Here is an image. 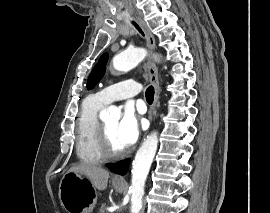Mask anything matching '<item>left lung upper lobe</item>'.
Wrapping results in <instances>:
<instances>
[{
	"label": "left lung upper lobe",
	"instance_id": "obj_1",
	"mask_svg": "<svg viewBox=\"0 0 270 213\" xmlns=\"http://www.w3.org/2000/svg\"><path fill=\"white\" fill-rule=\"evenodd\" d=\"M108 60V54L104 53L99 61L98 64H96V66L94 67V69L92 70L89 78H88V82H87V88L88 89H92L95 87V85L100 81V79L103 77L104 73H105V64L107 63Z\"/></svg>",
	"mask_w": 270,
	"mask_h": 213
}]
</instances>
